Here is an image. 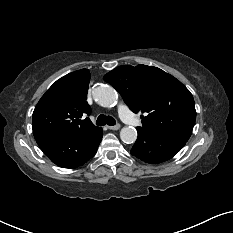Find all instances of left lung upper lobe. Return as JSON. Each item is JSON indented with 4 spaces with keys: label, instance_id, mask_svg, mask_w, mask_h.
Wrapping results in <instances>:
<instances>
[{
    "label": "left lung upper lobe",
    "instance_id": "1",
    "mask_svg": "<svg viewBox=\"0 0 233 233\" xmlns=\"http://www.w3.org/2000/svg\"><path fill=\"white\" fill-rule=\"evenodd\" d=\"M104 80L133 112L144 113L139 129L188 141L196 119L195 103L179 80L146 65L119 66L105 74Z\"/></svg>",
    "mask_w": 233,
    "mask_h": 233
}]
</instances>
